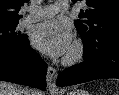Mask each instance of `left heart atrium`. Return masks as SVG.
I'll list each match as a JSON object with an SVG mask.
<instances>
[{
  "instance_id": "left-heart-atrium-1",
  "label": "left heart atrium",
  "mask_w": 119,
  "mask_h": 95,
  "mask_svg": "<svg viewBox=\"0 0 119 95\" xmlns=\"http://www.w3.org/2000/svg\"><path fill=\"white\" fill-rule=\"evenodd\" d=\"M31 40L38 50L52 57L66 55L73 44L70 26L60 20H49L37 25Z\"/></svg>"
}]
</instances>
